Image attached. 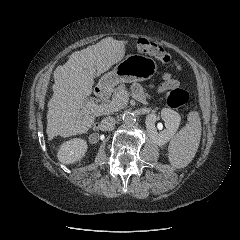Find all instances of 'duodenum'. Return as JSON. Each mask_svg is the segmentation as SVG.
Segmentation results:
<instances>
[{
    "mask_svg": "<svg viewBox=\"0 0 240 240\" xmlns=\"http://www.w3.org/2000/svg\"><path fill=\"white\" fill-rule=\"evenodd\" d=\"M109 93V87L107 85H99L95 88V95L99 98H105Z\"/></svg>",
    "mask_w": 240,
    "mask_h": 240,
    "instance_id": "obj_1",
    "label": "duodenum"
}]
</instances>
